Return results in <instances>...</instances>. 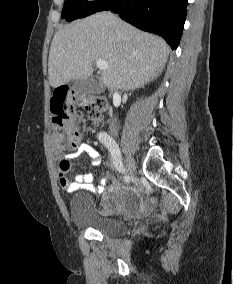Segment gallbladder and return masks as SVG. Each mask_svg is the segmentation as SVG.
Masks as SVG:
<instances>
[{"label":"gallbladder","instance_id":"gallbladder-1","mask_svg":"<svg viewBox=\"0 0 233 284\" xmlns=\"http://www.w3.org/2000/svg\"><path fill=\"white\" fill-rule=\"evenodd\" d=\"M72 90L77 95L100 93L102 91V84L97 77L90 76L85 79L75 80L72 85Z\"/></svg>","mask_w":233,"mask_h":284}]
</instances>
